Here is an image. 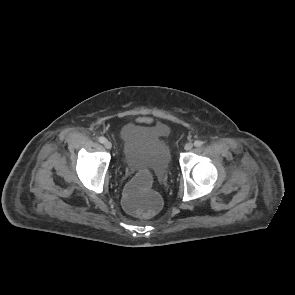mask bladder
<instances>
[{
  "instance_id": "31cf9c89",
  "label": "bladder",
  "mask_w": 295,
  "mask_h": 295,
  "mask_svg": "<svg viewBox=\"0 0 295 295\" xmlns=\"http://www.w3.org/2000/svg\"><path fill=\"white\" fill-rule=\"evenodd\" d=\"M170 129L160 120L129 122L120 130L125 165L127 167L148 166L163 171L170 161V150L166 141Z\"/></svg>"
}]
</instances>
